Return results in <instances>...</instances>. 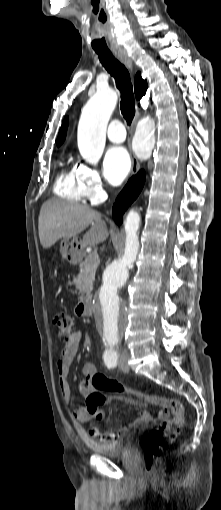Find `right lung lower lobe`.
I'll return each mask as SVG.
<instances>
[{"mask_svg": "<svg viewBox=\"0 0 221 510\" xmlns=\"http://www.w3.org/2000/svg\"><path fill=\"white\" fill-rule=\"evenodd\" d=\"M145 182V173L140 171L136 176H133L121 193L118 195L116 202L112 209V214L117 224L123 221V214L128 206L137 198L141 192Z\"/></svg>", "mask_w": 221, "mask_h": 510, "instance_id": "obj_1", "label": "right lung lower lobe"}]
</instances>
